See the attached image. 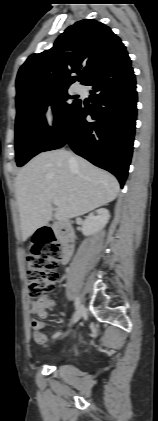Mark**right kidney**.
<instances>
[{
	"mask_svg": "<svg viewBox=\"0 0 158 421\" xmlns=\"http://www.w3.org/2000/svg\"><path fill=\"white\" fill-rule=\"evenodd\" d=\"M110 219L107 209L101 208L90 213L82 224V232L85 236H90L99 232Z\"/></svg>",
	"mask_w": 158,
	"mask_h": 421,
	"instance_id": "right-kidney-1",
	"label": "right kidney"
}]
</instances>
